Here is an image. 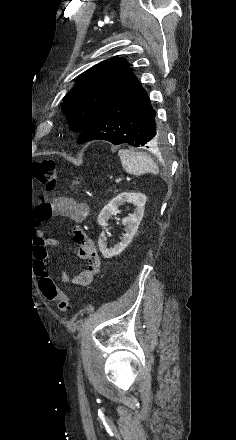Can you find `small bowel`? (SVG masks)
I'll use <instances>...</instances> for the list:
<instances>
[{
	"instance_id": "small-bowel-1",
	"label": "small bowel",
	"mask_w": 236,
	"mask_h": 440,
	"mask_svg": "<svg viewBox=\"0 0 236 440\" xmlns=\"http://www.w3.org/2000/svg\"><path fill=\"white\" fill-rule=\"evenodd\" d=\"M88 213L89 207L87 204L76 202L67 197H58L50 202H42L36 209V219L37 221H44L62 215L70 217L75 223H80L88 216ZM37 237L41 239L42 234H37ZM45 240L50 247H57L59 245L56 239L47 238ZM73 241L77 246L78 256L85 260L86 267L82 272L72 278L63 270L61 272V280L65 284L87 286L100 271V257L94 242L87 236L83 229L79 227L73 229ZM43 253L44 251L41 250L35 254L36 262L34 264V272L39 279L38 284H40L46 276L45 256Z\"/></svg>"
}]
</instances>
